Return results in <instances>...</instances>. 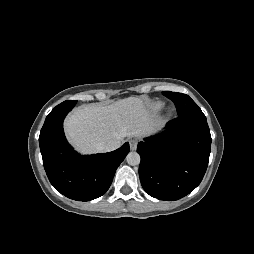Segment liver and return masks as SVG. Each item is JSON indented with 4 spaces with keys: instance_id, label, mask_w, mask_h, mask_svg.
<instances>
[{
    "instance_id": "1",
    "label": "liver",
    "mask_w": 254,
    "mask_h": 254,
    "mask_svg": "<svg viewBox=\"0 0 254 254\" xmlns=\"http://www.w3.org/2000/svg\"><path fill=\"white\" fill-rule=\"evenodd\" d=\"M161 125L147 110L145 97H128L110 105H84L70 114L64 124L69 141L83 154L101 152L110 140L142 137Z\"/></svg>"
}]
</instances>
